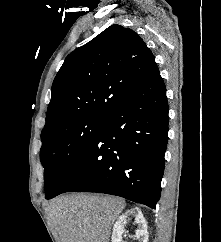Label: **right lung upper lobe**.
I'll list each match as a JSON object with an SVG mask.
<instances>
[{"instance_id":"cb5924a9","label":"right lung upper lobe","mask_w":221,"mask_h":242,"mask_svg":"<svg viewBox=\"0 0 221 242\" xmlns=\"http://www.w3.org/2000/svg\"><path fill=\"white\" fill-rule=\"evenodd\" d=\"M158 74L151 50L136 32L108 27L66 57L52 85L42 134L80 118L104 117Z\"/></svg>"}]
</instances>
